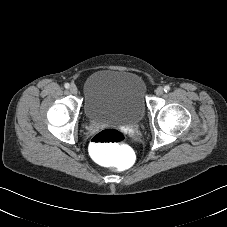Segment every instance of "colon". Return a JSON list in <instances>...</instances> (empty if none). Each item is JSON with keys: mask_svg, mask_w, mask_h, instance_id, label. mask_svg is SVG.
<instances>
[{"mask_svg": "<svg viewBox=\"0 0 227 227\" xmlns=\"http://www.w3.org/2000/svg\"><path fill=\"white\" fill-rule=\"evenodd\" d=\"M126 135L115 129H106L98 132L91 140V148L96 153L98 161L124 172L128 168L129 152L125 146Z\"/></svg>", "mask_w": 227, "mask_h": 227, "instance_id": "colon-1", "label": "colon"}]
</instances>
